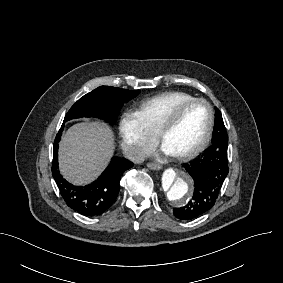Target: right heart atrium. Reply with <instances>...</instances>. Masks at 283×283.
Wrapping results in <instances>:
<instances>
[{
    "label": "right heart atrium",
    "mask_w": 283,
    "mask_h": 283,
    "mask_svg": "<svg viewBox=\"0 0 283 283\" xmlns=\"http://www.w3.org/2000/svg\"><path fill=\"white\" fill-rule=\"evenodd\" d=\"M117 132L125 157L132 163L143 160L151 148L153 133L141 114L132 108H125L120 116Z\"/></svg>",
    "instance_id": "d8ad5b80"
}]
</instances>
